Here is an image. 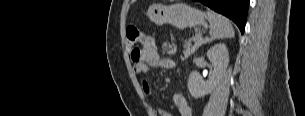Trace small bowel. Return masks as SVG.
Returning <instances> with one entry per match:
<instances>
[{
	"mask_svg": "<svg viewBox=\"0 0 305 116\" xmlns=\"http://www.w3.org/2000/svg\"><path fill=\"white\" fill-rule=\"evenodd\" d=\"M131 57V56H130ZM133 70L137 74L148 72L151 67L174 68L176 63L171 59L161 58L154 42L149 38L148 43L138 49V56L131 57ZM142 87L147 96L153 97V91L147 81H143ZM174 111L163 104L156 106V112L160 116H192V109L188 100L182 94H174L172 98Z\"/></svg>",
	"mask_w": 305,
	"mask_h": 116,
	"instance_id": "small-bowel-1",
	"label": "small bowel"
}]
</instances>
